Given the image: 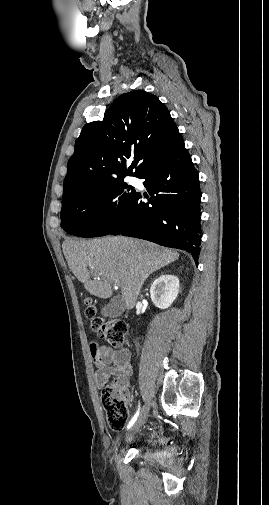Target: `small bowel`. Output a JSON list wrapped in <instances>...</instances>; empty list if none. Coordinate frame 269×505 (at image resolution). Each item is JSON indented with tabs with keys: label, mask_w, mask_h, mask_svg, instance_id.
Segmentation results:
<instances>
[{
	"label": "small bowel",
	"mask_w": 269,
	"mask_h": 505,
	"mask_svg": "<svg viewBox=\"0 0 269 505\" xmlns=\"http://www.w3.org/2000/svg\"><path fill=\"white\" fill-rule=\"evenodd\" d=\"M90 353L96 365L95 382L99 388H103L111 377L118 378L122 382L121 396L127 403L130 402L129 391L126 383L131 376L130 353L127 349L113 351L106 345H90Z\"/></svg>",
	"instance_id": "c3829d8e"
}]
</instances>
